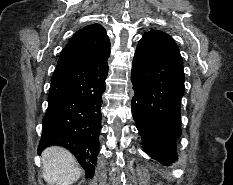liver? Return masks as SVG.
Returning a JSON list of instances; mask_svg holds the SVG:
<instances>
[{"instance_id":"6515ba94","label":"liver","mask_w":233,"mask_h":185,"mask_svg":"<svg viewBox=\"0 0 233 185\" xmlns=\"http://www.w3.org/2000/svg\"><path fill=\"white\" fill-rule=\"evenodd\" d=\"M43 176L50 185H71L82 169L75 157L65 148L52 146L42 153Z\"/></svg>"}]
</instances>
